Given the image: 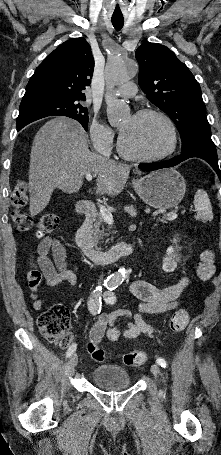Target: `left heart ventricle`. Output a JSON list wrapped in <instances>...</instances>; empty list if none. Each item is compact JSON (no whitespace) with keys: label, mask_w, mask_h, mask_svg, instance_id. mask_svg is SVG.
<instances>
[{"label":"left heart ventricle","mask_w":221,"mask_h":455,"mask_svg":"<svg viewBox=\"0 0 221 455\" xmlns=\"http://www.w3.org/2000/svg\"><path fill=\"white\" fill-rule=\"evenodd\" d=\"M125 149L137 155H153L170 145V133L165 123L155 115L126 117L120 124Z\"/></svg>","instance_id":"1"}]
</instances>
